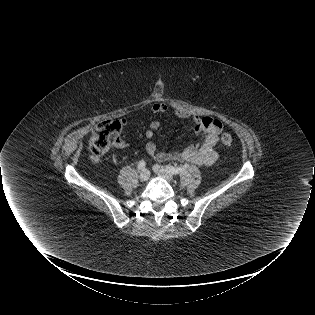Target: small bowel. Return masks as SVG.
<instances>
[{
    "label": "small bowel",
    "instance_id": "small-bowel-1",
    "mask_svg": "<svg viewBox=\"0 0 315 315\" xmlns=\"http://www.w3.org/2000/svg\"><path fill=\"white\" fill-rule=\"evenodd\" d=\"M168 111V106L165 103L157 102L151 106V112L154 114H163ZM175 114L184 120L190 122V130L196 137V142L187 146L180 152H162L159 151L156 144L151 141L155 132L159 130L161 123L159 120L154 119L150 122L148 129L145 132V136L148 141L146 143V152L158 162L163 161H178L188 162L203 166L213 165L219 155L215 149L219 133L222 130V123L215 118L211 117H199L197 115L190 114L186 110L179 109L175 111ZM121 127L128 124L126 118L119 120ZM120 147H125V143H119Z\"/></svg>",
    "mask_w": 315,
    "mask_h": 315
}]
</instances>
